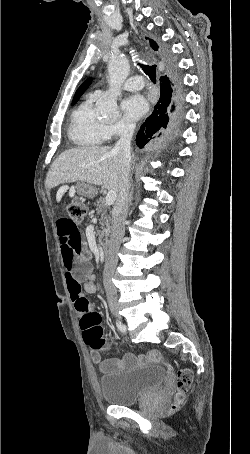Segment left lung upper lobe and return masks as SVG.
Listing matches in <instances>:
<instances>
[{
	"label": "left lung upper lobe",
	"mask_w": 250,
	"mask_h": 454,
	"mask_svg": "<svg viewBox=\"0 0 250 454\" xmlns=\"http://www.w3.org/2000/svg\"><path fill=\"white\" fill-rule=\"evenodd\" d=\"M91 83V78L87 79L79 88L78 90L76 91L75 93V96L73 98V104H75L77 102V100L79 99V97L84 93V91L88 88V86L90 85Z\"/></svg>",
	"instance_id": "1"
}]
</instances>
